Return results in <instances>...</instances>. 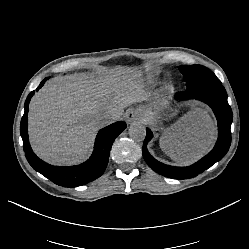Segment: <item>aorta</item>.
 <instances>
[{
    "instance_id": "1",
    "label": "aorta",
    "mask_w": 249,
    "mask_h": 249,
    "mask_svg": "<svg viewBox=\"0 0 249 249\" xmlns=\"http://www.w3.org/2000/svg\"><path fill=\"white\" fill-rule=\"evenodd\" d=\"M128 133L134 141H143L146 136V129L142 124L135 123L129 127Z\"/></svg>"
}]
</instances>
